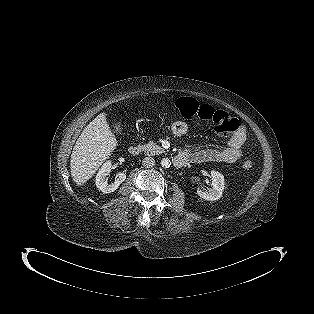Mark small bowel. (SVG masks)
I'll list each match as a JSON object with an SVG mask.
<instances>
[{
	"mask_svg": "<svg viewBox=\"0 0 314 314\" xmlns=\"http://www.w3.org/2000/svg\"><path fill=\"white\" fill-rule=\"evenodd\" d=\"M188 126L183 121L174 122L170 131L174 136L180 137L186 134ZM246 142V132L243 128H239L228 140L226 147L220 149H198L184 150L180 155L186 157L187 162H218V163H234L243 154Z\"/></svg>",
	"mask_w": 314,
	"mask_h": 314,
	"instance_id": "1",
	"label": "small bowel"
}]
</instances>
